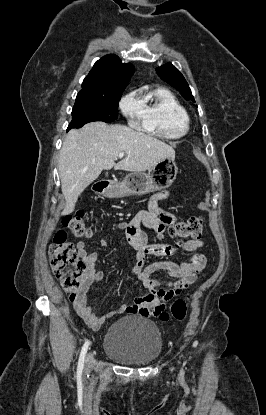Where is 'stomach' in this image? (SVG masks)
Segmentation results:
<instances>
[{
    "instance_id": "obj_1",
    "label": "stomach",
    "mask_w": 266,
    "mask_h": 415,
    "mask_svg": "<svg viewBox=\"0 0 266 415\" xmlns=\"http://www.w3.org/2000/svg\"><path fill=\"white\" fill-rule=\"evenodd\" d=\"M174 159L164 158L157 162L148 174L132 173L120 183H110L102 192L108 198L144 195L170 187L177 175Z\"/></svg>"
}]
</instances>
